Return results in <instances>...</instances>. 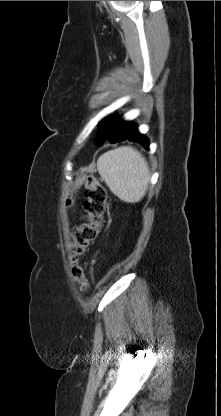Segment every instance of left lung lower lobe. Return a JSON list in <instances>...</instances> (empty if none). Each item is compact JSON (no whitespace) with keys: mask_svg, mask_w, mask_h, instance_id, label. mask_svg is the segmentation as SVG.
<instances>
[{"mask_svg":"<svg viewBox=\"0 0 221 416\" xmlns=\"http://www.w3.org/2000/svg\"><path fill=\"white\" fill-rule=\"evenodd\" d=\"M123 140H128V141H131V142H138L141 145H143V147L145 149H149V141H148V139L144 135H142V134H140L138 132L137 127H136L135 124H133L132 129L126 135V137L120 138L119 140L114 141L112 143H115V142H118V141H123ZM96 143L97 144H100L99 142H97V138H96Z\"/></svg>","mask_w":221,"mask_h":416,"instance_id":"obj_1","label":"left lung lower lobe"}]
</instances>
